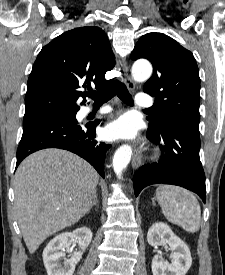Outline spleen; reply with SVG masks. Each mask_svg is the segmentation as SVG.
<instances>
[{
  "label": "spleen",
  "mask_w": 225,
  "mask_h": 275,
  "mask_svg": "<svg viewBox=\"0 0 225 275\" xmlns=\"http://www.w3.org/2000/svg\"><path fill=\"white\" fill-rule=\"evenodd\" d=\"M156 199L170 223L190 233L199 230L201 209L191 192L178 186L161 185L156 189Z\"/></svg>",
  "instance_id": "1"
}]
</instances>
